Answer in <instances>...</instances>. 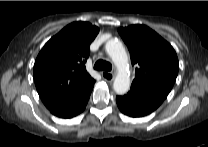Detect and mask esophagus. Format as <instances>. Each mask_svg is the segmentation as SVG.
<instances>
[{
	"label": "esophagus",
	"instance_id": "34e87169",
	"mask_svg": "<svg viewBox=\"0 0 208 147\" xmlns=\"http://www.w3.org/2000/svg\"><path fill=\"white\" fill-rule=\"evenodd\" d=\"M101 76L102 78L107 81V82H112L114 80V73L112 72H106V71H102L101 72Z\"/></svg>",
	"mask_w": 208,
	"mask_h": 147
}]
</instances>
